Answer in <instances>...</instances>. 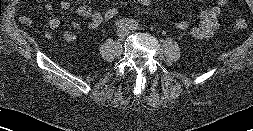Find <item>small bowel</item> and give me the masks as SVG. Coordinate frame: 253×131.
Returning <instances> with one entry per match:
<instances>
[{"instance_id":"1","label":"small bowel","mask_w":253,"mask_h":131,"mask_svg":"<svg viewBox=\"0 0 253 131\" xmlns=\"http://www.w3.org/2000/svg\"><path fill=\"white\" fill-rule=\"evenodd\" d=\"M168 2L169 0H165ZM229 0H216L215 4L210 8L202 11L199 16V24L191 27L190 24L185 20H176L175 27L182 31H189L190 35L197 39H208L212 37L219 28L218 17L221 13L222 8L227 5ZM43 7L46 11H53L59 9L66 11L70 9L71 3L67 0L61 1L57 6L51 2H45ZM79 17L88 20V27L92 30L98 29L104 22L103 13L100 11L92 10L87 5H80L77 10ZM20 22L25 26H30L31 19L26 15L22 14L19 17ZM60 20L57 17L50 18L48 22V29L44 31V35L47 39L52 37L51 31L57 30L60 27ZM73 30L63 31V38L67 42H72L76 39V33L74 30L80 28V24L77 21L71 23Z\"/></svg>"}]
</instances>
